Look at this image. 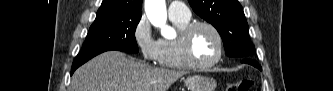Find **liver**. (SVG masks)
<instances>
[{
	"instance_id": "obj_1",
	"label": "liver",
	"mask_w": 333,
	"mask_h": 91,
	"mask_svg": "<svg viewBox=\"0 0 333 91\" xmlns=\"http://www.w3.org/2000/svg\"><path fill=\"white\" fill-rule=\"evenodd\" d=\"M185 72L154 68L119 51L102 53L72 76L70 91H167Z\"/></svg>"
}]
</instances>
